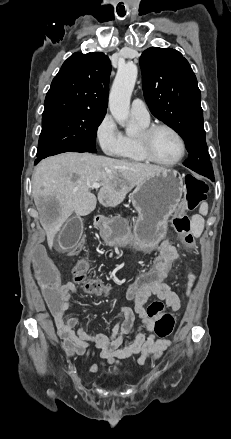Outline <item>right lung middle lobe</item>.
<instances>
[{
	"label": "right lung middle lobe",
	"instance_id": "1",
	"mask_svg": "<svg viewBox=\"0 0 231 439\" xmlns=\"http://www.w3.org/2000/svg\"><path fill=\"white\" fill-rule=\"evenodd\" d=\"M104 116L103 113L75 111L43 117L37 157L69 151L96 153V132Z\"/></svg>",
	"mask_w": 231,
	"mask_h": 439
}]
</instances>
